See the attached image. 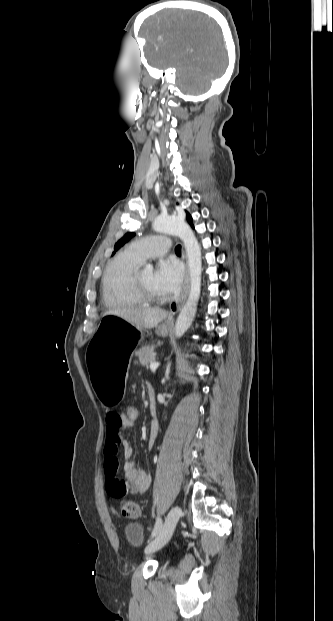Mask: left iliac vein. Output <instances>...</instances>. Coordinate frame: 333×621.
I'll list each match as a JSON object with an SVG mask.
<instances>
[{
	"label": "left iliac vein",
	"instance_id": "4c4485c4",
	"mask_svg": "<svg viewBox=\"0 0 333 621\" xmlns=\"http://www.w3.org/2000/svg\"><path fill=\"white\" fill-rule=\"evenodd\" d=\"M181 513H182V510H181V508L179 506H174L170 510V512H169V514H168V516H167V518H166V520H165V522H164V524H163L159 534L157 535V537L154 540H152L147 545V547L145 549L146 553H148V554L149 553H153V552L158 551L159 549H161L164 545H166V543L170 540V538H171V536H172V534L174 532V529H175L176 524H177V522H178V520H179V518L181 516Z\"/></svg>",
	"mask_w": 333,
	"mask_h": 621
}]
</instances>
